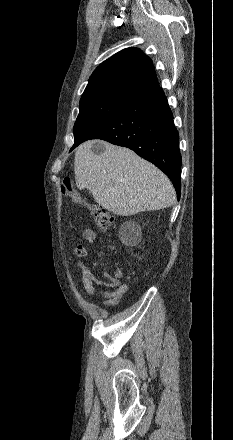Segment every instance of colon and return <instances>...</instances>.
I'll list each match as a JSON object with an SVG mask.
<instances>
[{"label": "colon", "mask_w": 233, "mask_h": 440, "mask_svg": "<svg viewBox=\"0 0 233 440\" xmlns=\"http://www.w3.org/2000/svg\"><path fill=\"white\" fill-rule=\"evenodd\" d=\"M61 191L64 196L70 198L72 201L86 207L92 215L97 227L101 231H109L113 228L114 220L111 214L104 208L84 201L80 195L73 189L69 178H64L61 182ZM117 277L120 273L117 272ZM112 282H117L116 278L111 279Z\"/></svg>", "instance_id": "5ec220e1"}]
</instances>
